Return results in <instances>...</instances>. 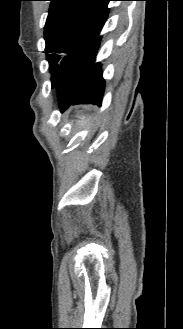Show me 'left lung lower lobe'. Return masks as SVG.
Here are the masks:
<instances>
[{
	"label": "left lung lower lobe",
	"mask_w": 183,
	"mask_h": 329,
	"mask_svg": "<svg viewBox=\"0 0 183 329\" xmlns=\"http://www.w3.org/2000/svg\"><path fill=\"white\" fill-rule=\"evenodd\" d=\"M108 15L81 41L73 54L59 66L52 83L57 87L61 112L71 104L92 103L101 105L105 80L101 64L96 62L100 47L101 31Z\"/></svg>",
	"instance_id": "left-lung-lower-lobe-1"
}]
</instances>
